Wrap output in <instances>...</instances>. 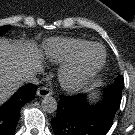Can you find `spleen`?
Wrapping results in <instances>:
<instances>
[{
  "label": "spleen",
  "instance_id": "spleen-1",
  "mask_svg": "<svg viewBox=\"0 0 135 135\" xmlns=\"http://www.w3.org/2000/svg\"><path fill=\"white\" fill-rule=\"evenodd\" d=\"M100 85H101V82H95V83H93V84L91 85V87L88 88L86 91H91V90H93L94 88L99 87ZM92 95L94 96V93H93Z\"/></svg>",
  "mask_w": 135,
  "mask_h": 135
}]
</instances>
